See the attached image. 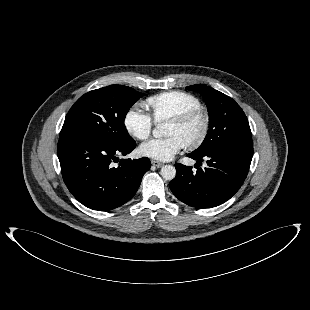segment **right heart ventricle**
Masks as SVG:
<instances>
[{
	"instance_id": "1",
	"label": "right heart ventricle",
	"mask_w": 310,
	"mask_h": 310,
	"mask_svg": "<svg viewBox=\"0 0 310 310\" xmlns=\"http://www.w3.org/2000/svg\"><path fill=\"white\" fill-rule=\"evenodd\" d=\"M145 105L153 119L160 123L189 109L201 107V102L190 93L172 90L148 97Z\"/></svg>"
}]
</instances>
